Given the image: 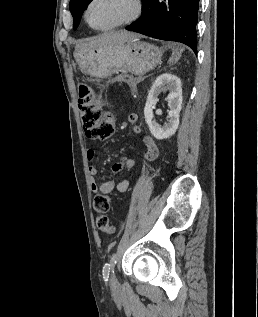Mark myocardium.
Wrapping results in <instances>:
<instances>
[{
    "label": "myocardium",
    "mask_w": 258,
    "mask_h": 317,
    "mask_svg": "<svg viewBox=\"0 0 258 317\" xmlns=\"http://www.w3.org/2000/svg\"><path fill=\"white\" fill-rule=\"evenodd\" d=\"M94 1L95 0H91L88 3V5H87V7L85 9L84 18H85V21L87 22V24L92 29L97 30V31H109V30H113V29L128 25L131 22H133L134 20H136L139 17V15L141 14V11H142V6H141V4H140V2L138 0H122V1H126V2H129V3L132 4L133 11H132L131 15L129 17H127L126 19L118 22V23H115V24H112V25H109V26L100 27V26L93 25L90 22V20H89V9H90V6L92 5V3Z\"/></svg>",
    "instance_id": "1"
}]
</instances>
